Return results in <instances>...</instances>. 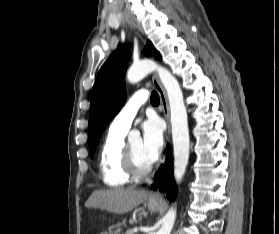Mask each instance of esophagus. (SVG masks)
Here are the masks:
<instances>
[{"label": "esophagus", "mask_w": 279, "mask_h": 234, "mask_svg": "<svg viewBox=\"0 0 279 234\" xmlns=\"http://www.w3.org/2000/svg\"><path fill=\"white\" fill-rule=\"evenodd\" d=\"M125 16H126L127 21L129 22V24L131 25V27L136 29L137 25L135 24V21L133 20L132 16L128 12H125ZM152 81H153V85H154L156 91L158 92V95L160 98V109L166 119L168 135H170V111H169L168 100H167L165 91L155 73L152 76ZM150 198L153 200H159V199H161V194L158 191L152 192L150 194Z\"/></svg>", "instance_id": "esophagus-1"}]
</instances>
